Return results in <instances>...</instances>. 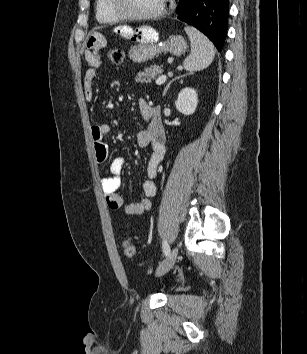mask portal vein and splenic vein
<instances>
[{"instance_id":"18ae733b","label":"portal vein and splenic vein","mask_w":307,"mask_h":354,"mask_svg":"<svg viewBox=\"0 0 307 354\" xmlns=\"http://www.w3.org/2000/svg\"><path fill=\"white\" fill-rule=\"evenodd\" d=\"M167 80V76L166 75H161L156 79V84L157 85H161L163 84L165 81Z\"/></svg>"}]
</instances>
